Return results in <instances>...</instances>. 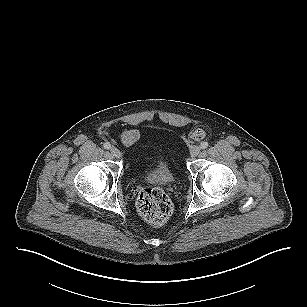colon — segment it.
Returning <instances> with one entry per match:
<instances>
[{
  "label": "colon",
  "mask_w": 307,
  "mask_h": 307,
  "mask_svg": "<svg viewBox=\"0 0 307 307\" xmlns=\"http://www.w3.org/2000/svg\"><path fill=\"white\" fill-rule=\"evenodd\" d=\"M192 136L201 139L203 131L195 130ZM136 205L139 214L152 224L164 223L172 213L170 198L159 188L146 187L141 189L138 193Z\"/></svg>",
  "instance_id": "obj_1"
}]
</instances>
